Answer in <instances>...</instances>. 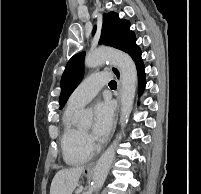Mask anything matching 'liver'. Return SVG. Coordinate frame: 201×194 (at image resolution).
Instances as JSON below:
<instances>
[{
    "mask_svg": "<svg viewBox=\"0 0 201 194\" xmlns=\"http://www.w3.org/2000/svg\"><path fill=\"white\" fill-rule=\"evenodd\" d=\"M84 169L79 166L58 171L52 180L50 194H72Z\"/></svg>",
    "mask_w": 201,
    "mask_h": 194,
    "instance_id": "6515ba94",
    "label": "liver"
}]
</instances>
